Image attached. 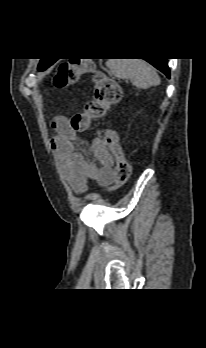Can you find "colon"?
Returning a JSON list of instances; mask_svg holds the SVG:
<instances>
[{
	"label": "colon",
	"mask_w": 206,
	"mask_h": 348,
	"mask_svg": "<svg viewBox=\"0 0 206 348\" xmlns=\"http://www.w3.org/2000/svg\"><path fill=\"white\" fill-rule=\"evenodd\" d=\"M88 72H93V94L84 110L71 117V127L76 131L87 130L94 119L104 117L110 107L118 103L122 97L119 83L106 73L95 70L90 58H73L62 62L52 82L56 88L63 89L78 82L80 77ZM102 137L115 160V183L122 186L131 176V165L120 146L119 135L112 129H105L102 131Z\"/></svg>",
	"instance_id": "colon-1"
}]
</instances>
